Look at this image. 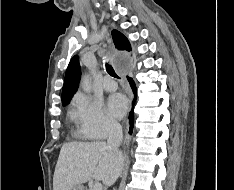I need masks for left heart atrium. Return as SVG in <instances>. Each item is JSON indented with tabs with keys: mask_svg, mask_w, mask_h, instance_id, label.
Returning a JSON list of instances; mask_svg holds the SVG:
<instances>
[{
	"mask_svg": "<svg viewBox=\"0 0 234 190\" xmlns=\"http://www.w3.org/2000/svg\"><path fill=\"white\" fill-rule=\"evenodd\" d=\"M107 106L112 117L120 118L126 112L128 103L125 96L117 93L109 97Z\"/></svg>",
	"mask_w": 234,
	"mask_h": 190,
	"instance_id": "left-heart-atrium-1",
	"label": "left heart atrium"
}]
</instances>
